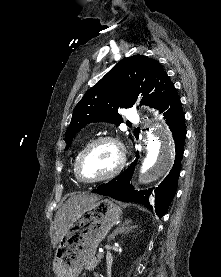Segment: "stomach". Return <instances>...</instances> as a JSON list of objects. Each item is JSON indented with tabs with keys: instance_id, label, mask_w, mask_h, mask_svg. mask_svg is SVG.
Segmentation results:
<instances>
[{
	"instance_id": "stomach-1",
	"label": "stomach",
	"mask_w": 221,
	"mask_h": 277,
	"mask_svg": "<svg viewBox=\"0 0 221 277\" xmlns=\"http://www.w3.org/2000/svg\"><path fill=\"white\" fill-rule=\"evenodd\" d=\"M121 208L109 199H99L82 209L70 223L54 256L57 277H78L94 258L99 243L118 223Z\"/></svg>"
}]
</instances>
